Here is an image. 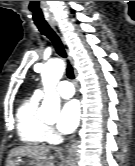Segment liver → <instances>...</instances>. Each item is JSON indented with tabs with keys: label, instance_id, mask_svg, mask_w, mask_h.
I'll use <instances>...</instances> for the list:
<instances>
[{
	"label": "liver",
	"instance_id": "1",
	"mask_svg": "<svg viewBox=\"0 0 135 166\" xmlns=\"http://www.w3.org/2000/svg\"><path fill=\"white\" fill-rule=\"evenodd\" d=\"M50 147L39 145H25L12 149L9 153L7 165L11 162L12 158L29 157L34 159H44L49 153ZM61 158L60 152H58ZM6 165V166H7Z\"/></svg>",
	"mask_w": 135,
	"mask_h": 166
}]
</instances>
